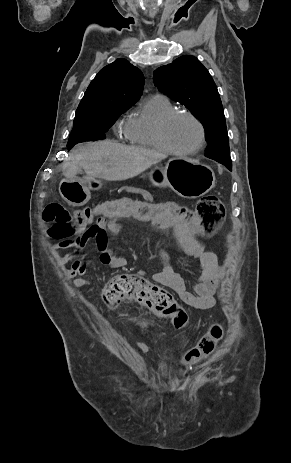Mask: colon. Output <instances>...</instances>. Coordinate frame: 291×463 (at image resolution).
Here are the masks:
<instances>
[{"instance_id": "1", "label": "colon", "mask_w": 291, "mask_h": 463, "mask_svg": "<svg viewBox=\"0 0 291 463\" xmlns=\"http://www.w3.org/2000/svg\"><path fill=\"white\" fill-rule=\"evenodd\" d=\"M132 213L155 226H177L181 231L211 234L223 221L224 207L215 195L201 198L196 208L186 207L173 200L152 205L134 200H121L96 208L69 211L61 203H50L43 211V219L51 223V226L44 230L43 237L48 242L58 240L62 247L69 248L99 215L131 217ZM103 299L110 307L116 306L123 299H133L169 316L177 329H185L188 326L186 312L168 291L136 275L120 274L111 278L103 290ZM221 335V328L214 325L194 347L184 353V362L187 365H195L203 360L213 352Z\"/></svg>"}]
</instances>
